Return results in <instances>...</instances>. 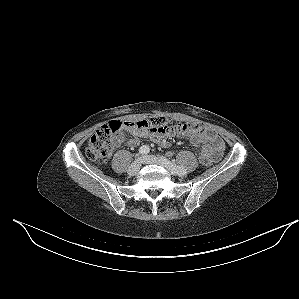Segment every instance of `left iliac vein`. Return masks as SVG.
Segmentation results:
<instances>
[{"label": "left iliac vein", "mask_w": 299, "mask_h": 299, "mask_svg": "<svg viewBox=\"0 0 299 299\" xmlns=\"http://www.w3.org/2000/svg\"><path fill=\"white\" fill-rule=\"evenodd\" d=\"M142 161L146 164H157L165 167L171 174H175V172L169 167L163 160L153 155H146L143 157Z\"/></svg>", "instance_id": "4c4485c4"}]
</instances>
